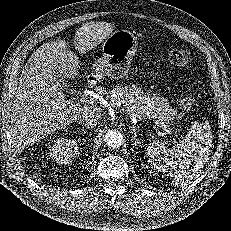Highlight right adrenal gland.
Wrapping results in <instances>:
<instances>
[{
  "mask_svg": "<svg viewBox=\"0 0 231 231\" xmlns=\"http://www.w3.org/2000/svg\"><path fill=\"white\" fill-rule=\"evenodd\" d=\"M79 130H80V128H79ZM81 130H82V132H83L84 134L86 133V131H85L83 128H82Z\"/></svg>",
  "mask_w": 231,
  "mask_h": 231,
  "instance_id": "1",
  "label": "right adrenal gland"
}]
</instances>
